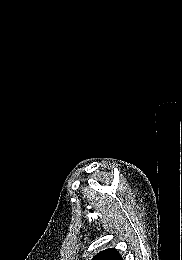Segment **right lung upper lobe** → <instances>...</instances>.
Returning <instances> with one entry per match:
<instances>
[{
    "instance_id": "obj_1",
    "label": "right lung upper lobe",
    "mask_w": 182,
    "mask_h": 260,
    "mask_svg": "<svg viewBox=\"0 0 182 260\" xmlns=\"http://www.w3.org/2000/svg\"><path fill=\"white\" fill-rule=\"evenodd\" d=\"M92 260H123L118 251L114 248H109L101 251Z\"/></svg>"
}]
</instances>
